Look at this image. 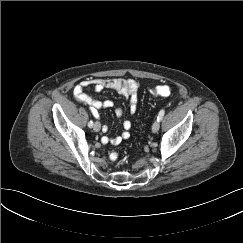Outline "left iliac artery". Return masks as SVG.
I'll return each mask as SVG.
<instances>
[{"label":"left iliac artery","instance_id":"obj_1","mask_svg":"<svg viewBox=\"0 0 243 243\" xmlns=\"http://www.w3.org/2000/svg\"><path fill=\"white\" fill-rule=\"evenodd\" d=\"M164 114H165V110L164 109L160 110V112H159V114L157 116V120L161 121L163 116H164Z\"/></svg>","mask_w":243,"mask_h":243}]
</instances>
